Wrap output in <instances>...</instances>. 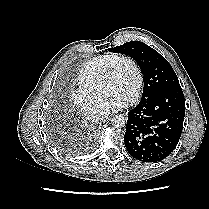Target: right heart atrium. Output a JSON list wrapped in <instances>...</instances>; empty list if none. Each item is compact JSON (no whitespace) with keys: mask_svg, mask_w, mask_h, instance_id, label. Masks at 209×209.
Here are the masks:
<instances>
[{"mask_svg":"<svg viewBox=\"0 0 209 209\" xmlns=\"http://www.w3.org/2000/svg\"><path fill=\"white\" fill-rule=\"evenodd\" d=\"M71 101L82 115L90 119L101 118L105 110L103 97L81 86L71 92Z\"/></svg>","mask_w":209,"mask_h":209,"instance_id":"d8ad5b80","label":"right heart atrium"}]
</instances>
